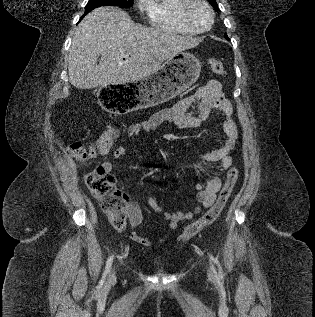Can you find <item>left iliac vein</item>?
Here are the masks:
<instances>
[{
    "mask_svg": "<svg viewBox=\"0 0 315 317\" xmlns=\"http://www.w3.org/2000/svg\"><path fill=\"white\" fill-rule=\"evenodd\" d=\"M208 276L212 279L214 278V274L210 270H208Z\"/></svg>",
    "mask_w": 315,
    "mask_h": 317,
    "instance_id": "obj_1",
    "label": "left iliac vein"
}]
</instances>
